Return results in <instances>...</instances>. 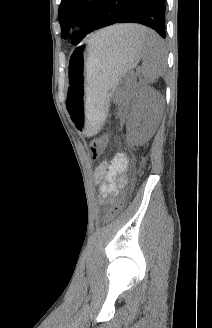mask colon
<instances>
[{"instance_id":"obj_1","label":"colon","mask_w":212,"mask_h":328,"mask_svg":"<svg viewBox=\"0 0 212 328\" xmlns=\"http://www.w3.org/2000/svg\"><path fill=\"white\" fill-rule=\"evenodd\" d=\"M108 145V138L105 135H101L94 139L90 144V150L94 158H97L101 153H103ZM125 202V194L121 193L116 202L111 205L108 210L103 215V222L109 223L112 221L118 213L122 210Z\"/></svg>"}]
</instances>
